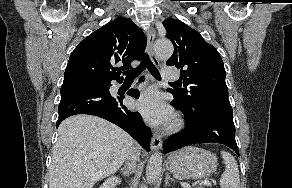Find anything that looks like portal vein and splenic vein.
<instances>
[{
	"label": "portal vein and splenic vein",
	"instance_id": "portal-vein-and-splenic-vein-1",
	"mask_svg": "<svg viewBox=\"0 0 292 188\" xmlns=\"http://www.w3.org/2000/svg\"><path fill=\"white\" fill-rule=\"evenodd\" d=\"M202 185L211 186V182H209V181H203V182L200 183V186H202ZM181 186L183 188H191V185L190 184H187V183H181Z\"/></svg>",
	"mask_w": 292,
	"mask_h": 188
}]
</instances>
